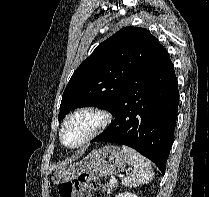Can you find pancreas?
I'll use <instances>...</instances> for the list:
<instances>
[{"label": "pancreas", "instance_id": "1", "mask_svg": "<svg viewBox=\"0 0 209 197\" xmlns=\"http://www.w3.org/2000/svg\"><path fill=\"white\" fill-rule=\"evenodd\" d=\"M118 186L117 183H107L103 188H102V192L103 193H107V194H111L113 189L116 188Z\"/></svg>", "mask_w": 209, "mask_h": 197}]
</instances>
